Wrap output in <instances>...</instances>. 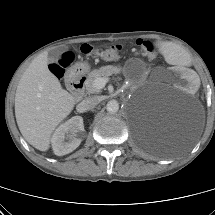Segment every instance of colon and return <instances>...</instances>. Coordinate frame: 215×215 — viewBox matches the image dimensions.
Here are the masks:
<instances>
[{"label": "colon", "mask_w": 215, "mask_h": 215, "mask_svg": "<svg viewBox=\"0 0 215 215\" xmlns=\"http://www.w3.org/2000/svg\"><path fill=\"white\" fill-rule=\"evenodd\" d=\"M139 44L142 46L144 54L150 58L155 56L154 46L150 42L139 41ZM119 46H110L106 48H97L93 47L90 44H83L80 47V51L86 55H95L104 60H114L117 58L119 53ZM73 61V56L69 53L64 54L62 58L57 62L51 64L50 68L52 73L57 77H62L64 68L67 67Z\"/></svg>", "instance_id": "colon-1"}]
</instances>
